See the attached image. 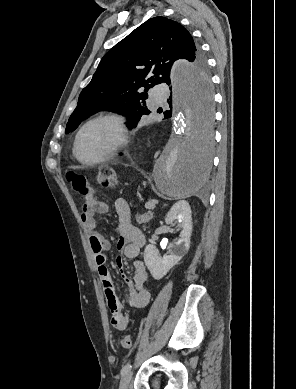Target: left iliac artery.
Returning <instances> with one entry per match:
<instances>
[{
    "label": "left iliac artery",
    "mask_w": 296,
    "mask_h": 389,
    "mask_svg": "<svg viewBox=\"0 0 296 389\" xmlns=\"http://www.w3.org/2000/svg\"><path fill=\"white\" fill-rule=\"evenodd\" d=\"M131 364H126L123 368H122V370H121V375H125L127 372H129L130 370H131Z\"/></svg>",
    "instance_id": "left-iliac-artery-1"
}]
</instances>
